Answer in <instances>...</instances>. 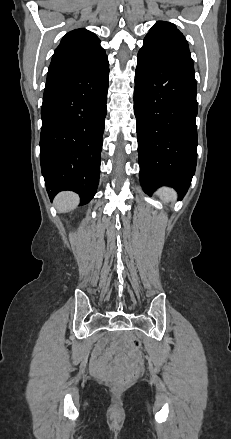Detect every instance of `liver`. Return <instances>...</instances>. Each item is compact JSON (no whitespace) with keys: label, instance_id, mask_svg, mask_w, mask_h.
<instances>
[{"label":"liver","instance_id":"6515ba94","mask_svg":"<svg viewBox=\"0 0 231 439\" xmlns=\"http://www.w3.org/2000/svg\"><path fill=\"white\" fill-rule=\"evenodd\" d=\"M54 203L60 213H66L77 207L79 197L73 192H61L56 196Z\"/></svg>","mask_w":231,"mask_h":439}]
</instances>
